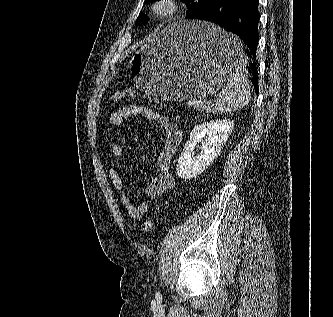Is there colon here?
I'll use <instances>...</instances> for the list:
<instances>
[{
	"instance_id": "obj_1",
	"label": "colon",
	"mask_w": 333,
	"mask_h": 317,
	"mask_svg": "<svg viewBox=\"0 0 333 317\" xmlns=\"http://www.w3.org/2000/svg\"><path fill=\"white\" fill-rule=\"evenodd\" d=\"M135 96H136V92L133 89L127 88V89H123V90L116 91L115 93H113L111 96V100L115 102V101H119L124 98H131V97H135ZM143 230L146 233H151L153 231V224L149 219H146L143 222Z\"/></svg>"
}]
</instances>
